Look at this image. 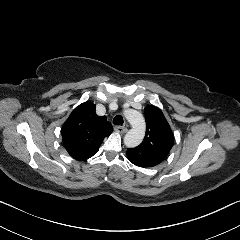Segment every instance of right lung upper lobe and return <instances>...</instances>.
<instances>
[{
  "label": "right lung upper lobe",
  "mask_w": 240,
  "mask_h": 240,
  "mask_svg": "<svg viewBox=\"0 0 240 240\" xmlns=\"http://www.w3.org/2000/svg\"><path fill=\"white\" fill-rule=\"evenodd\" d=\"M95 108L92 102L80 104L62 126L63 144L67 152L78 160H86L96 154L104 138L113 131L106 118L95 113Z\"/></svg>",
  "instance_id": "right-lung-upper-lobe-1"
}]
</instances>
